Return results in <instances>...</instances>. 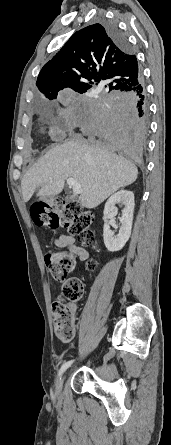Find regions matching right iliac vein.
<instances>
[{
  "instance_id": "1",
  "label": "right iliac vein",
  "mask_w": 171,
  "mask_h": 445,
  "mask_svg": "<svg viewBox=\"0 0 171 445\" xmlns=\"http://www.w3.org/2000/svg\"><path fill=\"white\" fill-rule=\"evenodd\" d=\"M65 377H66V374L62 375V376L59 378V380H58V382H57V385H56V391H60V390H61L62 385H63V381H64Z\"/></svg>"
}]
</instances>
